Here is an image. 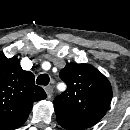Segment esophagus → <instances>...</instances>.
I'll list each match as a JSON object with an SVG mask.
<instances>
[{
    "label": "esophagus",
    "instance_id": "esophagus-1",
    "mask_svg": "<svg viewBox=\"0 0 130 130\" xmlns=\"http://www.w3.org/2000/svg\"><path fill=\"white\" fill-rule=\"evenodd\" d=\"M45 92H46V94H47V97H48V98H51L52 93H53V87H52V86H46V87H45Z\"/></svg>",
    "mask_w": 130,
    "mask_h": 130
}]
</instances>
